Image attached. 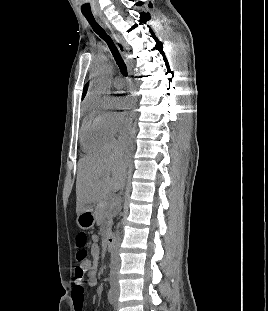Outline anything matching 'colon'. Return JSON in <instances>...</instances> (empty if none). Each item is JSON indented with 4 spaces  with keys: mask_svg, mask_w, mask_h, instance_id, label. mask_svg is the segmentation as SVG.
<instances>
[{
    "mask_svg": "<svg viewBox=\"0 0 268 311\" xmlns=\"http://www.w3.org/2000/svg\"><path fill=\"white\" fill-rule=\"evenodd\" d=\"M86 245V235L80 234L77 238L78 251L76 253V268L75 277L77 280H82L88 273L90 261L88 259V253L84 248Z\"/></svg>",
    "mask_w": 268,
    "mask_h": 311,
    "instance_id": "obj_1",
    "label": "colon"
}]
</instances>
